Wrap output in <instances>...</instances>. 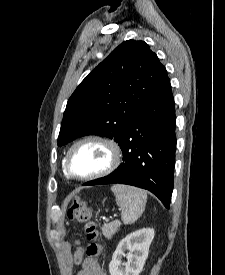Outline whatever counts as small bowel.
<instances>
[{
  "instance_id": "1",
  "label": "small bowel",
  "mask_w": 225,
  "mask_h": 275,
  "mask_svg": "<svg viewBox=\"0 0 225 275\" xmlns=\"http://www.w3.org/2000/svg\"><path fill=\"white\" fill-rule=\"evenodd\" d=\"M77 275H106L101 269L98 262L93 258H86L81 269L77 272Z\"/></svg>"
}]
</instances>
